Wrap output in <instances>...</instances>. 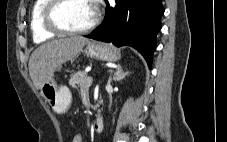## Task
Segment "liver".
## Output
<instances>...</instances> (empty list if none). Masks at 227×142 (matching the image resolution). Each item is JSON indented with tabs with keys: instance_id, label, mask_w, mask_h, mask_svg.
<instances>
[{
	"instance_id": "obj_1",
	"label": "liver",
	"mask_w": 227,
	"mask_h": 142,
	"mask_svg": "<svg viewBox=\"0 0 227 142\" xmlns=\"http://www.w3.org/2000/svg\"><path fill=\"white\" fill-rule=\"evenodd\" d=\"M89 42L82 36H73L49 41L39 46L29 59V73L35 88L42 84L63 63L76 57Z\"/></svg>"
}]
</instances>
